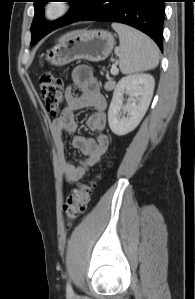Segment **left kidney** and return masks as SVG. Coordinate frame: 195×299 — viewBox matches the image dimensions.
<instances>
[{
  "mask_svg": "<svg viewBox=\"0 0 195 299\" xmlns=\"http://www.w3.org/2000/svg\"><path fill=\"white\" fill-rule=\"evenodd\" d=\"M154 86V77L146 73L128 75L118 82L108 110V123L114 134L126 135L139 125L150 105ZM124 94L129 96L126 105Z\"/></svg>",
  "mask_w": 195,
  "mask_h": 299,
  "instance_id": "left-kidney-1",
  "label": "left kidney"
}]
</instances>
